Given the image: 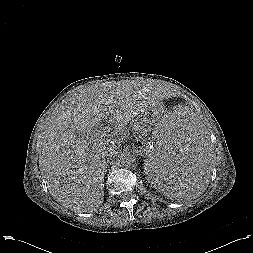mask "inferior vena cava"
Masks as SVG:
<instances>
[{
  "mask_svg": "<svg viewBox=\"0 0 253 253\" xmlns=\"http://www.w3.org/2000/svg\"><path fill=\"white\" fill-rule=\"evenodd\" d=\"M116 150H117V146L116 145H114V144L109 145V147L105 151V158H108V157L112 156L113 153L116 152Z\"/></svg>",
  "mask_w": 253,
  "mask_h": 253,
  "instance_id": "inferior-vena-cava-1",
  "label": "inferior vena cava"
}]
</instances>
